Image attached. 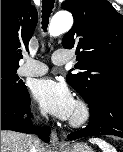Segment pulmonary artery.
<instances>
[{
	"label": "pulmonary artery",
	"instance_id": "pulmonary-artery-1",
	"mask_svg": "<svg viewBox=\"0 0 123 152\" xmlns=\"http://www.w3.org/2000/svg\"><path fill=\"white\" fill-rule=\"evenodd\" d=\"M70 61V56L63 51H55L52 55V62L55 65H63ZM48 67L46 64L28 59L26 63L19 69L18 73L21 76L38 77L46 74Z\"/></svg>",
	"mask_w": 123,
	"mask_h": 152
}]
</instances>
